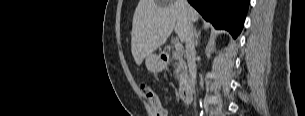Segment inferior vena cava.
<instances>
[{
  "label": "inferior vena cava",
  "mask_w": 305,
  "mask_h": 116,
  "mask_svg": "<svg viewBox=\"0 0 305 116\" xmlns=\"http://www.w3.org/2000/svg\"><path fill=\"white\" fill-rule=\"evenodd\" d=\"M188 5L187 1L184 0V6ZM185 48L187 55V64L189 68V73L192 78L193 85L196 84V62H195V39L193 32V24L190 20L187 21L186 27V39H185Z\"/></svg>",
  "instance_id": "1"
}]
</instances>
